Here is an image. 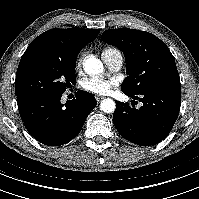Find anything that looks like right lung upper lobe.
Returning <instances> with one entry per match:
<instances>
[{"instance_id": "1", "label": "right lung upper lobe", "mask_w": 199, "mask_h": 199, "mask_svg": "<svg viewBox=\"0 0 199 199\" xmlns=\"http://www.w3.org/2000/svg\"><path fill=\"white\" fill-rule=\"evenodd\" d=\"M99 29H50L39 35L27 50L41 49L63 58H75L81 49L95 40Z\"/></svg>"}]
</instances>
